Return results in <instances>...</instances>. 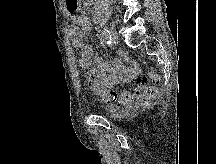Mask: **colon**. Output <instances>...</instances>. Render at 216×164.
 Returning a JSON list of instances; mask_svg holds the SVG:
<instances>
[{
    "label": "colon",
    "mask_w": 216,
    "mask_h": 164,
    "mask_svg": "<svg viewBox=\"0 0 216 164\" xmlns=\"http://www.w3.org/2000/svg\"><path fill=\"white\" fill-rule=\"evenodd\" d=\"M160 82L159 75L152 71L147 78L139 79L132 89L121 91H99L92 78H86L89 88L97 92L102 101L110 105H122L130 103L135 97L142 106H149L157 96V85Z\"/></svg>",
    "instance_id": "1"
}]
</instances>
